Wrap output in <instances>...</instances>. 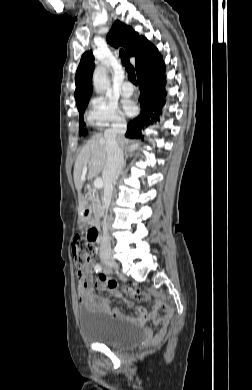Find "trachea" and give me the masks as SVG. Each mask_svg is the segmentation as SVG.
<instances>
[{
    "label": "trachea",
    "mask_w": 252,
    "mask_h": 390,
    "mask_svg": "<svg viewBox=\"0 0 252 390\" xmlns=\"http://www.w3.org/2000/svg\"><path fill=\"white\" fill-rule=\"evenodd\" d=\"M120 57H121V60L124 64V66L126 67V70L128 72V78L129 80L134 84V85H137V80H136V75H135V70H134V67L132 65L129 64V62H127V55L126 53L124 52V50H120Z\"/></svg>",
    "instance_id": "3493384b"
}]
</instances>
